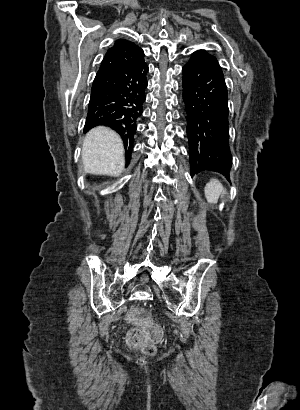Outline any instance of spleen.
<instances>
[{"mask_svg": "<svg viewBox=\"0 0 300 410\" xmlns=\"http://www.w3.org/2000/svg\"><path fill=\"white\" fill-rule=\"evenodd\" d=\"M205 197L209 203L216 204L219 197H223L225 189L217 179L210 180L205 186Z\"/></svg>", "mask_w": 300, "mask_h": 410, "instance_id": "spleen-1", "label": "spleen"}]
</instances>
